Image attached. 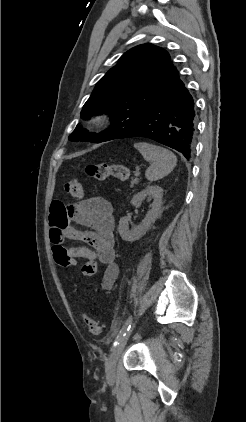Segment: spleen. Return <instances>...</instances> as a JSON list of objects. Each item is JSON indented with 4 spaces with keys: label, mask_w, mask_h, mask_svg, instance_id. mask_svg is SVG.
<instances>
[{
    "label": "spleen",
    "mask_w": 246,
    "mask_h": 422,
    "mask_svg": "<svg viewBox=\"0 0 246 422\" xmlns=\"http://www.w3.org/2000/svg\"><path fill=\"white\" fill-rule=\"evenodd\" d=\"M134 147L146 161L151 162L145 176L150 182L157 181L168 175L176 166L177 157L168 149L149 143H135Z\"/></svg>",
    "instance_id": "spleen-1"
}]
</instances>
